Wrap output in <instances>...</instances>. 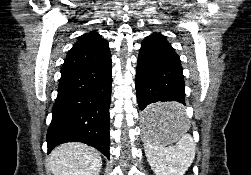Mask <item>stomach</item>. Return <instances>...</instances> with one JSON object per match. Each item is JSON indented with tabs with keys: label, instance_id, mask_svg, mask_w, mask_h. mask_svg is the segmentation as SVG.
Returning a JSON list of instances; mask_svg holds the SVG:
<instances>
[{
	"label": "stomach",
	"instance_id": "0dacf381",
	"mask_svg": "<svg viewBox=\"0 0 251 175\" xmlns=\"http://www.w3.org/2000/svg\"><path fill=\"white\" fill-rule=\"evenodd\" d=\"M156 106H145L142 113V134L144 141H163V145L174 143L177 141L178 134H191L188 128L187 118L185 114H149L150 111H184V106H168L179 105V100H164ZM149 128H169V129H149ZM149 134H167L166 136H149Z\"/></svg>",
	"mask_w": 251,
	"mask_h": 175
}]
</instances>
